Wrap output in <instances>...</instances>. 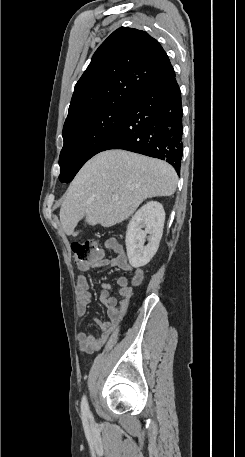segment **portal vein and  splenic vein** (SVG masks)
I'll return each mask as SVG.
<instances>
[{"mask_svg": "<svg viewBox=\"0 0 245 457\" xmlns=\"http://www.w3.org/2000/svg\"><path fill=\"white\" fill-rule=\"evenodd\" d=\"M113 200H118V196H113Z\"/></svg>", "mask_w": 245, "mask_h": 457, "instance_id": "obj_1", "label": "portal vein and splenic vein"}]
</instances>
